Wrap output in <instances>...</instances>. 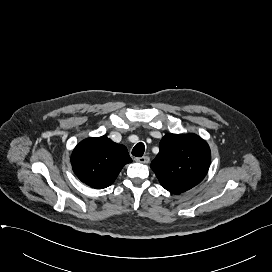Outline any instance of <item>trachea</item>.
Wrapping results in <instances>:
<instances>
[{"mask_svg":"<svg viewBox=\"0 0 272 272\" xmlns=\"http://www.w3.org/2000/svg\"><path fill=\"white\" fill-rule=\"evenodd\" d=\"M145 151V146L142 142L137 143L133 150H132V155L135 157H142Z\"/></svg>","mask_w":272,"mask_h":272,"instance_id":"1","label":"trachea"}]
</instances>
